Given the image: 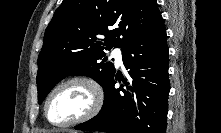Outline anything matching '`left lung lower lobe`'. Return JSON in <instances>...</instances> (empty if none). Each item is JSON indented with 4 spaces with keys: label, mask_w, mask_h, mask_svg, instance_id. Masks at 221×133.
Returning <instances> with one entry per match:
<instances>
[{
    "label": "left lung lower lobe",
    "mask_w": 221,
    "mask_h": 133,
    "mask_svg": "<svg viewBox=\"0 0 221 133\" xmlns=\"http://www.w3.org/2000/svg\"><path fill=\"white\" fill-rule=\"evenodd\" d=\"M122 58L128 79L115 89V72L104 88V104L76 130L107 133H165L167 126L168 47L162 16L127 42Z\"/></svg>",
    "instance_id": "1"
}]
</instances>
